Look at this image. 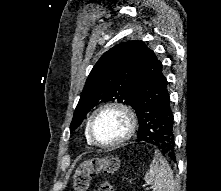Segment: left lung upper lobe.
Instances as JSON below:
<instances>
[{"label": "left lung upper lobe", "mask_w": 221, "mask_h": 191, "mask_svg": "<svg viewBox=\"0 0 221 191\" xmlns=\"http://www.w3.org/2000/svg\"><path fill=\"white\" fill-rule=\"evenodd\" d=\"M146 45L142 41L120 43L105 52L91 70L70 125L73 131L97 104L115 101L134 108V85Z\"/></svg>", "instance_id": "obj_1"}]
</instances>
